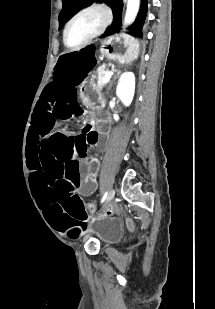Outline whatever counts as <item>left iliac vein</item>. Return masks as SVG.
<instances>
[{"label":"left iliac vein","mask_w":215,"mask_h":309,"mask_svg":"<svg viewBox=\"0 0 215 309\" xmlns=\"http://www.w3.org/2000/svg\"><path fill=\"white\" fill-rule=\"evenodd\" d=\"M116 194V189H112L107 196V201L110 202L113 200L114 196ZM108 210V206H105L103 209V213H106V211Z\"/></svg>","instance_id":"1"}]
</instances>
